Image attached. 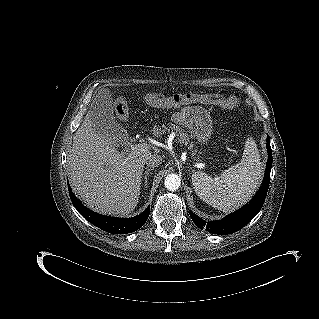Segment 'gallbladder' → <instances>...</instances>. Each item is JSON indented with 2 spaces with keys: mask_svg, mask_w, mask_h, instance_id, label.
<instances>
[{
  "mask_svg": "<svg viewBox=\"0 0 319 319\" xmlns=\"http://www.w3.org/2000/svg\"><path fill=\"white\" fill-rule=\"evenodd\" d=\"M99 93L93 99L90 110L95 130L109 139L125 138L127 131L117 122L113 114V103L108 91Z\"/></svg>",
  "mask_w": 319,
  "mask_h": 319,
  "instance_id": "bac80fb5",
  "label": "gallbladder"
}]
</instances>
